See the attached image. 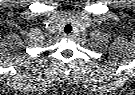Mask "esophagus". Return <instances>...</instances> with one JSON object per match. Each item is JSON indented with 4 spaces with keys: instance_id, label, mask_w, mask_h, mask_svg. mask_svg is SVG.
Segmentation results:
<instances>
[{
    "instance_id": "esophagus-1",
    "label": "esophagus",
    "mask_w": 135,
    "mask_h": 95,
    "mask_svg": "<svg viewBox=\"0 0 135 95\" xmlns=\"http://www.w3.org/2000/svg\"><path fill=\"white\" fill-rule=\"evenodd\" d=\"M64 37H66V38H72L73 37V34L72 33L64 34Z\"/></svg>"
}]
</instances>
